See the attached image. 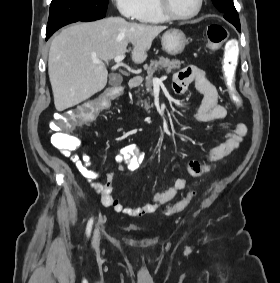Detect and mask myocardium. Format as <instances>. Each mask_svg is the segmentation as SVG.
I'll use <instances>...</instances> for the list:
<instances>
[{"mask_svg": "<svg viewBox=\"0 0 280 283\" xmlns=\"http://www.w3.org/2000/svg\"><path fill=\"white\" fill-rule=\"evenodd\" d=\"M156 5L160 13L168 20H174V21H183V20H189L194 17H196L200 11L202 10L203 7V2L204 0H197V6L196 9L186 15H179L176 14L169 6V1L168 0H155Z\"/></svg>", "mask_w": 280, "mask_h": 283, "instance_id": "myocardium-1", "label": "myocardium"}]
</instances>
